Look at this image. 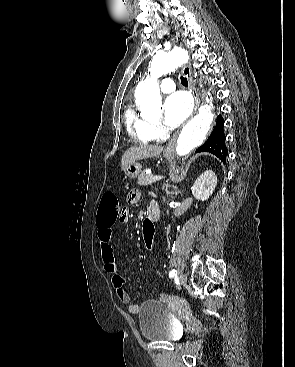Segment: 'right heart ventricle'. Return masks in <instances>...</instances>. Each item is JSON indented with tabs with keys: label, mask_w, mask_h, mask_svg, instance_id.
Returning a JSON list of instances; mask_svg holds the SVG:
<instances>
[{
	"label": "right heart ventricle",
	"mask_w": 295,
	"mask_h": 367,
	"mask_svg": "<svg viewBox=\"0 0 295 367\" xmlns=\"http://www.w3.org/2000/svg\"><path fill=\"white\" fill-rule=\"evenodd\" d=\"M124 123L130 137L139 144H149L157 139L153 124L140 116L131 105L125 110Z\"/></svg>",
	"instance_id": "1"
}]
</instances>
